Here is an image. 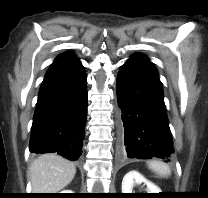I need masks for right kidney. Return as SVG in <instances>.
I'll return each mask as SVG.
<instances>
[{
  "label": "right kidney",
  "mask_w": 208,
  "mask_h": 198,
  "mask_svg": "<svg viewBox=\"0 0 208 198\" xmlns=\"http://www.w3.org/2000/svg\"><path fill=\"white\" fill-rule=\"evenodd\" d=\"M62 193H73V191L67 190V191H62Z\"/></svg>",
  "instance_id": "right-kidney-1"
}]
</instances>
